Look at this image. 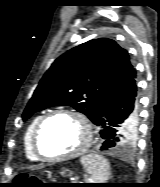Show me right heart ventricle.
<instances>
[{"label": "right heart ventricle", "instance_id": "1", "mask_svg": "<svg viewBox=\"0 0 160 187\" xmlns=\"http://www.w3.org/2000/svg\"><path fill=\"white\" fill-rule=\"evenodd\" d=\"M42 115L35 117L27 126L23 137V149L25 156L31 161H38L39 157L35 154L32 146V136L34 128Z\"/></svg>", "mask_w": 160, "mask_h": 187}]
</instances>
